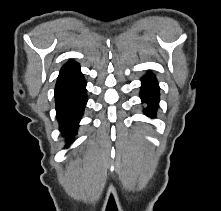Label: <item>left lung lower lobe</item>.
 Here are the masks:
<instances>
[{"mask_svg":"<svg viewBox=\"0 0 221 211\" xmlns=\"http://www.w3.org/2000/svg\"><path fill=\"white\" fill-rule=\"evenodd\" d=\"M140 97L142 102L148 105L144 109V113L152 118L155 117L159 104V86L152 73H147L142 79Z\"/></svg>","mask_w":221,"mask_h":211,"instance_id":"obj_1","label":"left lung lower lobe"}]
</instances>
